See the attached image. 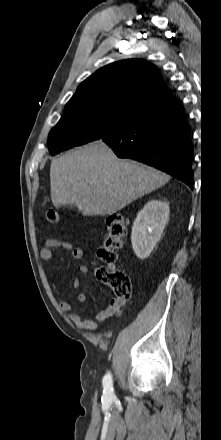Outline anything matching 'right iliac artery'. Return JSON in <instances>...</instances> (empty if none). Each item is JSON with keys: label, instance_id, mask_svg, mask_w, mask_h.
<instances>
[{"label": "right iliac artery", "instance_id": "right-iliac-artery-1", "mask_svg": "<svg viewBox=\"0 0 221 440\" xmlns=\"http://www.w3.org/2000/svg\"><path fill=\"white\" fill-rule=\"evenodd\" d=\"M103 393L106 397H112L113 394V386H112V377L110 374L105 375L103 378Z\"/></svg>", "mask_w": 221, "mask_h": 440}]
</instances>
